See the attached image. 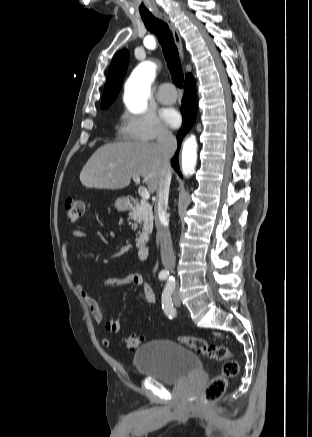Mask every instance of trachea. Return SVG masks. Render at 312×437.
Returning a JSON list of instances; mask_svg holds the SVG:
<instances>
[{
	"mask_svg": "<svg viewBox=\"0 0 312 437\" xmlns=\"http://www.w3.org/2000/svg\"><path fill=\"white\" fill-rule=\"evenodd\" d=\"M141 18L145 27L157 36L158 41L162 46L163 54L171 73L173 83L177 87L182 88L184 81L182 66L173 34L167 23L155 18L152 14L141 15Z\"/></svg>",
	"mask_w": 312,
	"mask_h": 437,
	"instance_id": "trachea-1",
	"label": "trachea"
}]
</instances>
